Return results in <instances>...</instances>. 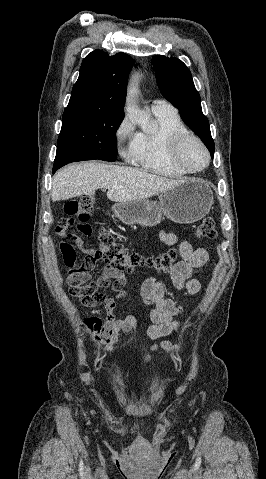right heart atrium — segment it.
<instances>
[{"instance_id": "right-heart-atrium-1", "label": "right heart atrium", "mask_w": 266, "mask_h": 479, "mask_svg": "<svg viewBox=\"0 0 266 479\" xmlns=\"http://www.w3.org/2000/svg\"><path fill=\"white\" fill-rule=\"evenodd\" d=\"M136 135L134 126L128 118L122 120L115 132V140L120 152L128 160H132L134 154Z\"/></svg>"}]
</instances>
